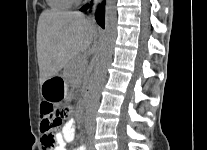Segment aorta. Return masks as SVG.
<instances>
[{
    "label": "aorta",
    "instance_id": "762f6f07",
    "mask_svg": "<svg viewBox=\"0 0 207 150\" xmlns=\"http://www.w3.org/2000/svg\"><path fill=\"white\" fill-rule=\"evenodd\" d=\"M117 30L116 0H106L105 29L102 38L100 58L94 70V77L90 87L88 106L94 111L98 105L102 90L107 64L112 57Z\"/></svg>",
    "mask_w": 207,
    "mask_h": 150
}]
</instances>
